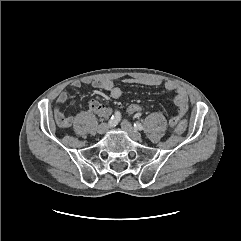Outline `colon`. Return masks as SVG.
<instances>
[{
  "mask_svg": "<svg viewBox=\"0 0 241 241\" xmlns=\"http://www.w3.org/2000/svg\"><path fill=\"white\" fill-rule=\"evenodd\" d=\"M143 110L142 106L140 104H137V103H133L131 105L128 106L127 108V112L130 114V115H137L139 113H141ZM187 127V122L185 120H180L177 122V124L175 125V131L177 133H182Z\"/></svg>",
  "mask_w": 241,
  "mask_h": 241,
  "instance_id": "5ec220e1",
  "label": "colon"
}]
</instances>
